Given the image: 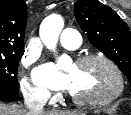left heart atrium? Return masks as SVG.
Listing matches in <instances>:
<instances>
[{
  "mask_svg": "<svg viewBox=\"0 0 131 115\" xmlns=\"http://www.w3.org/2000/svg\"><path fill=\"white\" fill-rule=\"evenodd\" d=\"M35 78L38 82L58 90L71 89L72 82L69 75L58 74L52 66H46L39 70Z\"/></svg>",
  "mask_w": 131,
  "mask_h": 115,
  "instance_id": "obj_1",
  "label": "left heart atrium"
}]
</instances>
